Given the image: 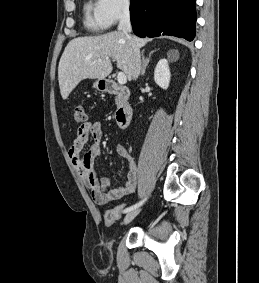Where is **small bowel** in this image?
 Wrapping results in <instances>:
<instances>
[{
  "instance_id": "obj_1",
  "label": "small bowel",
  "mask_w": 259,
  "mask_h": 283,
  "mask_svg": "<svg viewBox=\"0 0 259 283\" xmlns=\"http://www.w3.org/2000/svg\"><path fill=\"white\" fill-rule=\"evenodd\" d=\"M103 131L98 121H86L77 130L76 137L68 151V157L76 172L86 183L91 196L98 204H107L133 194L137 189V166L132 155L125 146L118 145L116 153L127 160V180L124 186L108 189L110 177L104 176L98 180L93 168L96 158L101 156V139ZM92 143L83 153L88 141Z\"/></svg>"
}]
</instances>
